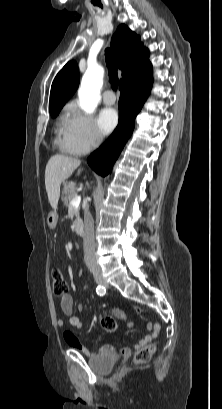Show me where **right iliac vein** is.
<instances>
[{"mask_svg":"<svg viewBox=\"0 0 222 409\" xmlns=\"http://www.w3.org/2000/svg\"><path fill=\"white\" fill-rule=\"evenodd\" d=\"M95 281H96L99 285H103V286H105V287L108 286V283H107L106 279H105L102 275H100V274L95 275Z\"/></svg>","mask_w":222,"mask_h":409,"instance_id":"63e3f726","label":"right iliac vein"}]
</instances>
